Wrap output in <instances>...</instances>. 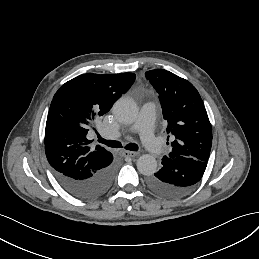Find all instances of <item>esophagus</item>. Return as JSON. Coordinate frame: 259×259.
<instances>
[{"label": "esophagus", "instance_id": "1", "mask_svg": "<svg viewBox=\"0 0 259 259\" xmlns=\"http://www.w3.org/2000/svg\"><path fill=\"white\" fill-rule=\"evenodd\" d=\"M137 155H138V152H132V151H127V150L122 152L123 157H135Z\"/></svg>", "mask_w": 259, "mask_h": 259}]
</instances>
